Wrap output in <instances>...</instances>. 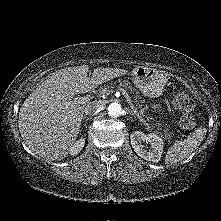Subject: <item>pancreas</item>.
Here are the masks:
<instances>
[{"mask_svg":"<svg viewBox=\"0 0 221 221\" xmlns=\"http://www.w3.org/2000/svg\"><path fill=\"white\" fill-rule=\"evenodd\" d=\"M115 87L116 86H114V85L102 86L99 89V93L108 94V93L112 92ZM117 88L118 89H125L127 91H130V93L135 92V88H133L131 82L126 81V80H123V81L119 80V84L117 85ZM131 98L133 99V100H131L132 104H133V106L135 105L134 108L137 110L140 119L142 121H144L145 123L153 120V117L148 114V112H147L148 108H147V106L144 105V100H142L141 96L138 94H135ZM154 125L157 126L158 128L161 127V124L158 122H156ZM164 134H165L164 137L166 139H170L171 135L169 134L167 129L164 130Z\"/></svg>","mask_w":221,"mask_h":221,"instance_id":"pancreas-1","label":"pancreas"}]
</instances>
